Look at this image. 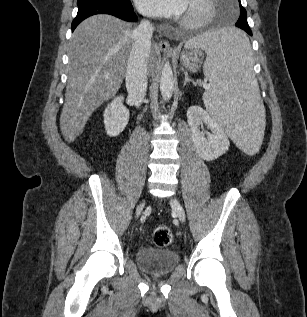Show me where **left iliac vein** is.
<instances>
[{
	"label": "left iliac vein",
	"mask_w": 307,
	"mask_h": 317,
	"mask_svg": "<svg viewBox=\"0 0 307 317\" xmlns=\"http://www.w3.org/2000/svg\"><path fill=\"white\" fill-rule=\"evenodd\" d=\"M170 204H171L173 212L177 215L179 220L181 222H184L185 221V212H184L183 207L179 203V201L177 199H175V198H172L170 200Z\"/></svg>",
	"instance_id": "left-iliac-vein-1"
}]
</instances>
